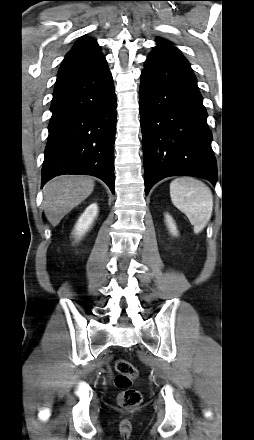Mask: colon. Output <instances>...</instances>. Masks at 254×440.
<instances>
[{
	"label": "colon",
	"instance_id": "obj_1",
	"mask_svg": "<svg viewBox=\"0 0 254 440\" xmlns=\"http://www.w3.org/2000/svg\"><path fill=\"white\" fill-rule=\"evenodd\" d=\"M115 371L114 382L121 390L118 395L119 405L125 409L139 406L142 402V395L139 390L131 387L133 379L137 376V369L131 362L119 359L115 362Z\"/></svg>",
	"mask_w": 254,
	"mask_h": 440
}]
</instances>
